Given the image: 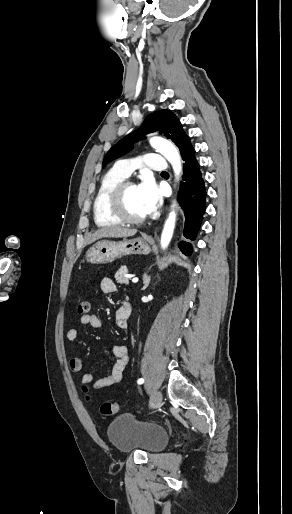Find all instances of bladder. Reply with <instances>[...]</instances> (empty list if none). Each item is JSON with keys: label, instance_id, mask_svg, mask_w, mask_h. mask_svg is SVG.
I'll list each match as a JSON object with an SVG mask.
<instances>
[{"label": "bladder", "instance_id": "1", "mask_svg": "<svg viewBox=\"0 0 292 514\" xmlns=\"http://www.w3.org/2000/svg\"><path fill=\"white\" fill-rule=\"evenodd\" d=\"M109 442L121 452L136 450L154 453L168 441L167 432L160 426L144 422L132 414L116 417L106 428Z\"/></svg>", "mask_w": 292, "mask_h": 514}]
</instances>
